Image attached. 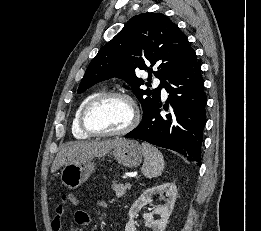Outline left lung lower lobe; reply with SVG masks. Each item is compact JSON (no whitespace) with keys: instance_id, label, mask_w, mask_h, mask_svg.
Instances as JSON below:
<instances>
[{"instance_id":"1","label":"left lung lower lobe","mask_w":261,"mask_h":231,"mask_svg":"<svg viewBox=\"0 0 261 231\" xmlns=\"http://www.w3.org/2000/svg\"><path fill=\"white\" fill-rule=\"evenodd\" d=\"M171 112L160 115V101L143 114L142 121L125 137L147 141L184 155L201 165V147L206 123V94L201 66L195 56L190 64L164 85ZM164 109H168L164 106Z\"/></svg>"}]
</instances>
